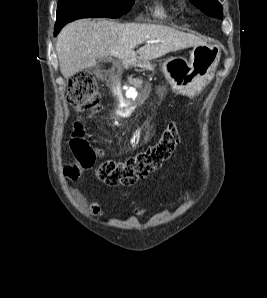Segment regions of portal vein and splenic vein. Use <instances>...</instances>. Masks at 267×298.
<instances>
[{"instance_id": "1", "label": "portal vein and splenic vein", "mask_w": 267, "mask_h": 298, "mask_svg": "<svg viewBox=\"0 0 267 298\" xmlns=\"http://www.w3.org/2000/svg\"><path fill=\"white\" fill-rule=\"evenodd\" d=\"M153 41H147V43H152Z\"/></svg>"}]
</instances>
